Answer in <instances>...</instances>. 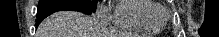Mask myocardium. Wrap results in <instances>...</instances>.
I'll list each match as a JSON object with an SVG mask.
<instances>
[{"label": "myocardium", "mask_w": 219, "mask_h": 37, "mask_svg": "<svg viewBox=\"0 0 219 37\" xmlns=\"http://www.w3.org/2000/svg\"><path fill=\"white\" fill-rule=\"evenodd\" d=\"M157 17H158V19H162V20H165V19H167V15H166V13L163 11V10H159L158 11V13H157Z\"/></svg>", "instance_id": "1"}]
</instances>
